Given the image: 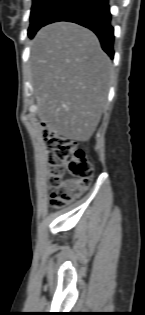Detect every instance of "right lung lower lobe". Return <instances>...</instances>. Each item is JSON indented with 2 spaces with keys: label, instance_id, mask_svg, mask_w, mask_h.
Returning a JSON list of instances; mask_svg holds the SVG:
<instances>
[{
  "label": "right lung lower lobe",
  "instance_id": "obj_1",
  "mask_svg": "<svg viewBox=\"0 0 145 315\" xmlns=\"http://www.w3.org/2000/svg\"><path fill=\"white\" fill-rule=\"evenodd\" d=\"M70 21L91 29L103 50L114 56V29L111 26L109 0H66L43 24Z\"/></svg>",
  "mask_w": 145,
  "mask_h": 315
}]
</instances>
